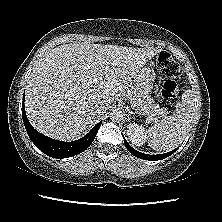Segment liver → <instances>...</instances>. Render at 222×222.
Masks as SVG:
<instances>
[{"instance_id": "1", "label": "liver", "mask_w": 222, "mask_h": 222, "mask_svg": "<svg viewBox=\"0 0 222 222\" xmlns=\"http://www.w3.org/2000/svg\"><path fill=\"white\" fill-rule=\"evenodd\" d=\"M160 52L109 44L70 43L49 50L26 86L25 109L40 133L62 141L80 137L91 123L90 111L107 107L132 84L141 68ZM102 78L95 82V79Z\"/></svg>"}]
</instances>
